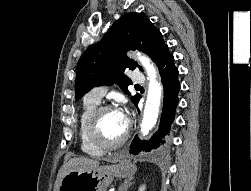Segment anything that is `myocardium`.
<instances>
[{
  "label": "myocardium",
  "instance_id": "1",
  "mask_svg": "<svg viewBox=\"0 0 251 191\" xmlns=\"http://www.w3.org/2000/svg\"><path fill=\"white\" fill-rule=\"evenodd\" d=\"M107 111H113V108L110 105H99L90 116L86 128L89 142L93 146L104 151L115 150L121 147L129 137V124L126 123L124 133L117 141L107 142L102 138L100 132L101 119L103 114Z\"/></svg>",
  "mask_w": 251,
  "mask_h": 191
}]
</instances>
